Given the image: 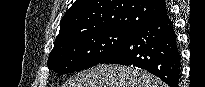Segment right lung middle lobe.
<instances>
[{
	"instance_id": "obj_1",
	"label": "right lung middle lobe",
	"mask_w": 205,
	"mask_h": 87,
	"mask_svg": "<svg viewBox=\"0 0 205 87\" xmlns=\"http://www.w3.org/2000/svg\"><path fill=\"white\" fill-rule=\"evenodd\" d=\"M133 33L122 29L83 32L56 42L48 58V68L62 75L99 64Z\"/></svg>"
}]
</instances>
